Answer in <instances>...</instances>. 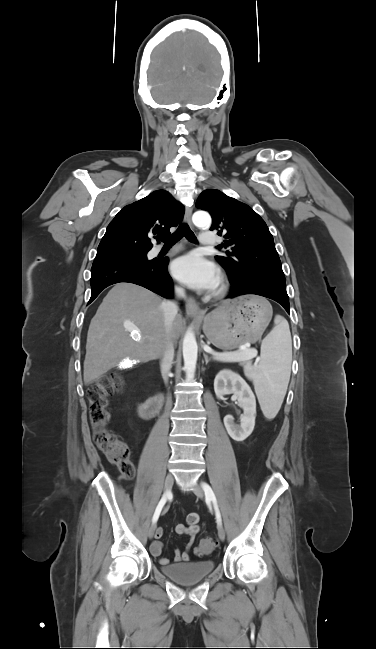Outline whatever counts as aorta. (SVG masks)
Listing matches in <instances>:
<instances>
[{
	"label": "aorta",
	"mask_w": 376,
	"mask_h": 649,
	"mask_svg": "<svg viewBox=\"0 0 376 649\" xmlns=\"http://www.w3.org/2000/svg\"><path fill=\"white\" fill-rule=\"evenodd\" d=\"M194 224L202 229H208L211 226V217L205 211H198L193 215ZM183 360L187 374L193 375L196 369L198 358V346L196 337L191 329H188L183 339Z\"/></svg>",
	"instance_id": "obj_1"
}]
</instances>
